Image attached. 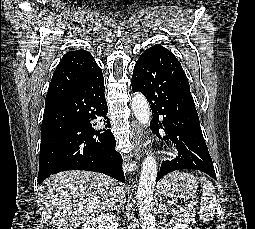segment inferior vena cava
<instances>
[{"label":"inferior vena cava","instance_id":"602c4592","mask_svg":"<svg viewBox=\"0 0 255 229\" xmlns=\"http://www.w3.org/2000/svg\"><path fill=\"white\" fill-rule=\"evenodd\" d=\"M124 196H125V194H124V191H123V189H122V190L119 191V192L117 193V195L115 196L116 202H120V203L122 202V203H123Z\"/></svg>","mask_w":255,"mask_h":229}]
</instances>
